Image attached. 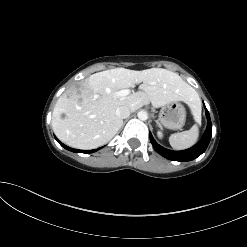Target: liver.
Instances as JSON below:
<instances>
[{"label":"liver","mask_w":247,"mask_h":247,"mask_svg":"<svg viewBox=\"0 0 247 247\" xmlns=\"http://www.w3.org/2000/svg\"><path fill=\"white\" fill-rule=\"evenodd\" d=\"M139 83L141 90L116 96V92ZM177 101L190 107L198 103L195 90L177 73L162 68L110 69L91 75L78 88L72 87L59 97L52 114V128L67 145L93 149L109 142L122 126V119L116 115L118 107L127 106L135 112L149 103L160 108Z\"/></svg>","instance_id":"6515ba94"}]
</instances>
